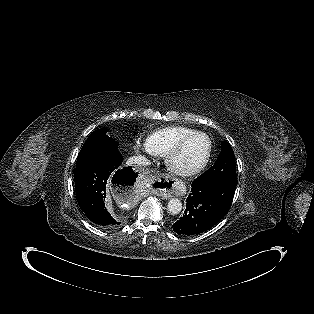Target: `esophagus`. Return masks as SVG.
Instances as JSON below:
<instances>
[{
	"instance_id": "34e87169",
	"label": "esophagus",
	"mask_w": 314,
	"mask_h": 314,
	"mask_svg": "<svg viewBox=\"0 0 314 314\" xmlns=\"http://www.w3.org/2000/svg\"><path fill=\"white\" fill-rule=\"evenodd\" d=\"M166 179L167 182H170L171 186H166L165 188H163L162 190H156L155 194H157L158 196H161L165 199L169 198L172 196V194L176 195V196H184L185 195V188L183 187V184L181 181H179L177 178L175 177H164Z\"/></svg>"
}]
</instances>
